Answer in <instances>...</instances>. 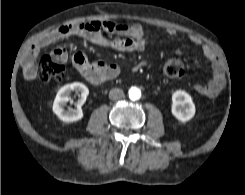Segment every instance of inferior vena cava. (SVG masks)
Segmentation results:
<instances>
[{
	"label": "inferior vena cava",
	"mask_w": 245,
	"mask_h": 195,
	"mask_svg": "<svg viewBox=\"0 0 245 195\" xmlns=\"http://www.w3.org/2000/svg\"><path fill=\"white\" fill-rule=\"evenodd\" d=\"M124 97H125V95H124L123 90H121L119 88L111 89L110 92H109V98L111 100H120V99H122Z\"/></svg>",
	"instance_id": "inferior-vena-cava-1"
}]
</instances>
